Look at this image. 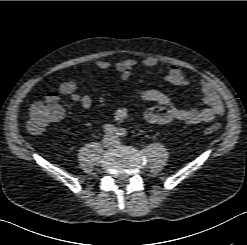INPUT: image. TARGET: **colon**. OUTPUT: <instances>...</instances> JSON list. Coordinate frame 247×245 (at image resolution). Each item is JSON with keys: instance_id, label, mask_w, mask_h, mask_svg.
I'll use <instances>...</instances> for the list:
<instances>
[{"instance_id": "colon-1", "label": "colon", "mask_w": 247, "mask_h": 245, "mask_svg": "<svg viewBox=\"0 0 247 245\" xmlns=\"http://www.w3.org/2000/svg\"><path fill=\"white\" fill-rule=\"evenodd\" d=\"M62 115V111L58 106L44 102H36L30 107L27 128L33 134H40L50 124L59 121ZM220 128V123H213L206 126L204 132L213 134L218 132Z\"/></svg>"}]
</instances>
